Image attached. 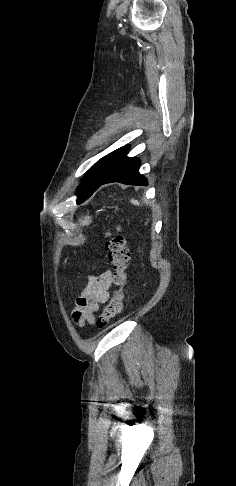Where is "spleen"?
<instances>
[{
    "instance_id": "spleen-1",
    "label": "spleen",
    "mask_w": 236,
    "mask_h": 486,
    "mask_svg": "<svg viewBox=\"0 0 236 486\" xmlns=\"http://www.w3.org/2000/svg\"><path fill=\"white\" fill-rule=\"evenodd\" d=\"M131 202L134 204V205H139V202L137 200H131Z\"/></svg>"
}]
</instances>
